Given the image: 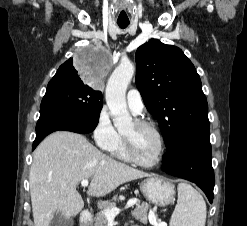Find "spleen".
Returning a JSON list of instances; mask_svg holds the SVG:
<instances>
[{"instance_id": "obj_1", "label": "spleen", "mask_w": 247, "mask_h": 226, "mask_svg": "<svg viewBox=\"0 0 247 226\" xmlns=\"http://www.w3.org/2000/svg\"><path fill=\"white\" fill-rule=\"evenodd\" d=\"M178 200L170 226H205L206 203L200 193L187 183H179Z\"/></svg>"}]
</instances>
